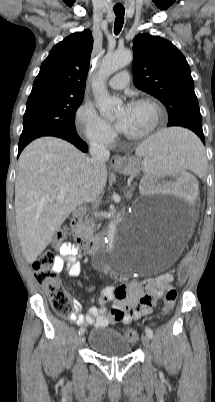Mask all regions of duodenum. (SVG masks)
Returning a JSON list of instances; mask_svg holds the SVG:
<instances>
[{
	"label": "duodenum",
	"instance_id": "1",
	"mask_svg": "<svg viewBox=\"0 0 215 402\" xmlns=\"http://www.w3.org/2000/svg\"><path fill=\"white\" fill-rule=\"evenodd\" d=\"M82 215L83 212L81 209H76L72 213L71 217L72 234L76 239V241L82 246L85 252L89 254H96L101 247V242L97 239L85 238L78 233L77 228L81 221Z\"/></svg>",
	"mask_w": 215,
	"mask_h": 402
}]
</instances>
